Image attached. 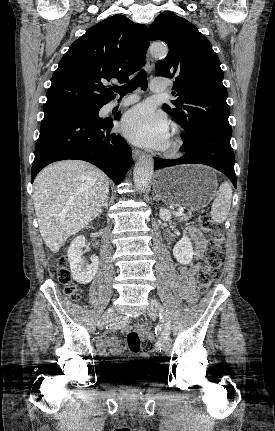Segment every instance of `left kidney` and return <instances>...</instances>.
Here are the masks:
<instances>
[{"label": "left kidney", "instance_id": "obj_1", "mask_svg": "<svg viewBox=\"0 0 275 431\" xmlns=\"http://www.w3.org/2000/svg\"><path fill=\"white\" fill-rule=\"evenodd\" d=\"M159 216L163 221H169L171 219V213L165 208L160 209ZM173 255L181 264H189L192 261L194 252L191 240L186 235V231H184L183 238L174 246Z\"/></svg>", "mask_w": 275, "mask_h": 431}]
</instances>
